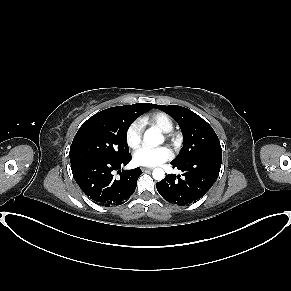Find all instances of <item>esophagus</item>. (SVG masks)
Wrapping results in <instances>:
<instances>
[{"mask_svg": "<svg viewBox=\"0 0 291 291\" xmlns=\"http://www.w3.org/2000/svg\"><path fill=\"white\" fill-rule=\"evenodd\" d=\"M143 171H152L153 168L152 167H142L141 168Z\"/></svg>", "mask_w": 291, "mask_h": 291, "instance_id": "34e87169", "label": "esophagus"}]
</instances>
